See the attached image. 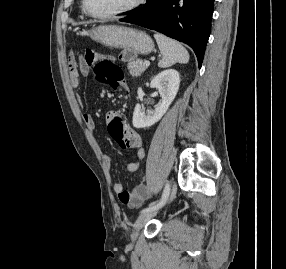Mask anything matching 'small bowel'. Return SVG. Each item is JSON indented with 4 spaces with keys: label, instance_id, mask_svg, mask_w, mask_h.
<instances>
[{
    "label": "small bowel",
    "instance_id": "small-bowel-1",
    "mask_svg": "<svg viewBox=\"0 0 286 269\" xmlns=\"http://www.w3.org/2000/svg\"><path fill=\"white\" fill-rule=\"evenodd\" d=\"M95 54L96 58L94 60H89L86 56H80L76 58L73 54L69 55L68 77L69 83L72 87H78L81 81V74L87 73L90 66L94 65L99 59H101L100 55H98L96 52ZM82 117L86 128L91 131H94L95 122L92 115L90 113H84ZM107 121L110 127L111 121L125 120L120 114L116 112H109L107 114ZM122 129L128 141V148L137 149V160L135 162L128 163L125 166V170L128 172H135L139 170L141 161L145 157V150L142 146V139L136 131L128 127L127 123L125 124V126H122ZM112 162L113 159L111 157L106 158L107 165H111ZM113 191L119 197V200L130 209L137 208L149 198V189L143 183L136 186L132 191H127L124 189L121 183L117 182L113 185Z\"/></svg>",
    "mask_w": 286,
    "mask_h": 269
}]
</instances>
